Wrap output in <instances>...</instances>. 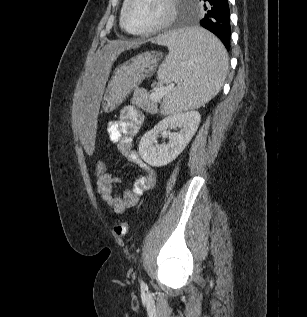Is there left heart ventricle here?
Masks as SVG:
<instances>
[{
    "mask_svg": "<svg viewBox=\"0 0 307 317\" xmlns=\"http://www.w3.org/2000/svg\"><path fill=\"white\" fill-rule=\"evenodd\" d=\"M169 11L166 0H134L127 14V26L132 31H142L160 23Z\"/></svg>",
    "mask_w": 307,
    "mask_h": 317,
    "instance_id": "b2bd125f",
    "label": "left heart ventricle"
}]
</instances>
